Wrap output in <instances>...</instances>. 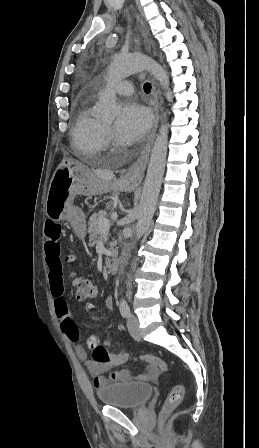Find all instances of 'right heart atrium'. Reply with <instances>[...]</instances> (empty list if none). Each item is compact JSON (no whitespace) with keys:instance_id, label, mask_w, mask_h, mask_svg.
<instances>
[{"instance_id":"obj_1","label":"right heart atrium","mask_w":259,"mask_h":448,"mask_svg":"<svg viewBox=\"0 0 259 448\" xmlns=\"http://www.w3.org/2000/svg\"><path fill=\"white\" fill-rule=\"evenodd\" d=\"M103 142L106 150L114 149L118 145L116 137L114 136L112 131L108 128H106L104 131Z\"/></svg>"}]
</instances>
